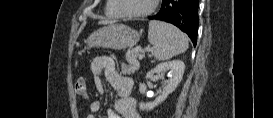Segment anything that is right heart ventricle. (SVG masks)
Listing matches in <instances>:
<instances>
[{"label":"right heart ventricle","instance_id":"obj_1","mask_svg":"<svg viewBox=\"0 0 273 118\" xmlns=\"http://www.w3.org/2000/svg\"><path fill=\"white\" fill-rule=\"evenodd\" d=\"M105 14L107 16H111V17H121L122 14L120 13V11L118 10L115 0H108L105 8H104Z\"/></svg>","mask_w":273,"mask_h":118}]
</instances>
